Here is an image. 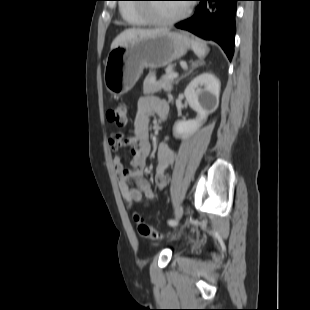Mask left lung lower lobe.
I'll use <instances>...</instances> for the list:
<instances>
[{
  "mask_svg": "<svg viewBox=\"0 0 310 310\" xmlns=\"http://www.w3.org/2000/svg\"><path fill=\"white\" fill-rule=\"evenodd\" d=\"M194 16L175 24L206 40L218 43L229 60L234 53L236 3L240 0H196Z\"/></svg>",
  "mask_w": 310,
  "mask_h": 310,
  "instance_id": "left-lung-lower-lobe-1",
  "label": "left lung lower lobe"
}]
</instances>
